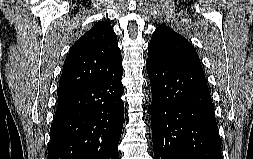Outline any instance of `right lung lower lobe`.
<instances>
[{"mask_svg":"<svg viewBox=\"0 0 253 159\" xmlns=\"http://www.w3.org/2000/svg\"><path fill=\"white\" fill-rule=\"evenodd\" d=\"M122 69L58 101L47 159H119Z\"/></svg>","mask_w":253,"mask_h":159,"instance_id":"98d812e1","label":"right lung lower lobe"}]
</instances>
